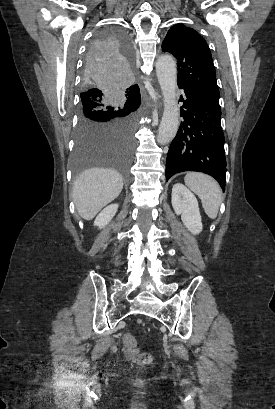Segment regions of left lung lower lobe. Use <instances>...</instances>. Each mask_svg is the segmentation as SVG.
<instances>
[{"instance_id": "1", "label": "left lung lower lobe", "mask_w": 275, "mask_h": 409, "mask_svg": "<svg viewBox=\"0 0 275 409\" xmlns=\"http://www.w3.org/2000/svg\"><path fill=\"white\" fill-rule=\"evenodd\" d=\"M178 86L184 89V96L180 97L184 122L168 151L166 181L179 172L198 171L214 177L225 191L226 158L219 97L189 85Z\"/></svg>"}]
</instances>
